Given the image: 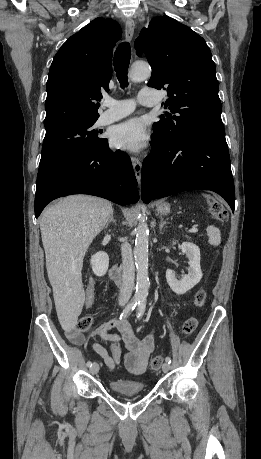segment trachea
Wrapping results in <instances>:
<instances>
[{"instance_id":"trachea-1","label":"trachea","mask_w":261,"mask_h":459,"mask_svg":"<svg viewBox=\"0 0 261 459\" xmlns=\"http://www.w3.org/2000/svg\"><path fill=\"white\" fill-rule=\"evenodd\" d=\"M131 58V49L128 42H122L117 47L114 54V67L116 71L117 78L121 84L122 88L128 86V76L127 71L130 64Z\"/></svg>"}]
</instances>
